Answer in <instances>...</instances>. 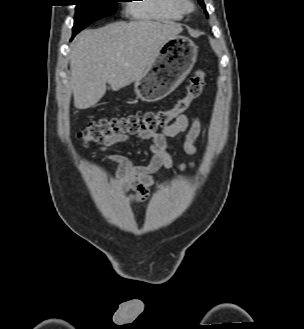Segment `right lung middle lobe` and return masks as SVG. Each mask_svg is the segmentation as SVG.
I'll return each instance as SVG.
<instances>
[{"mask_svg":"<svg viewBox=\"0 0 304 329\" xmlns=\"http://www.w3.org/2000/svg\"><path fill=\"white\" fill-rule=\"evenodd\" d=\"M77 2L75 8V20L73 36L92 22L111 15L116 11V3L119 0H74Z\"/></svg>","mask_w":304,"mask_h":329,"instance_id":"dd1d6c3e","label":"right lung middle lobe"}]
</instances>
